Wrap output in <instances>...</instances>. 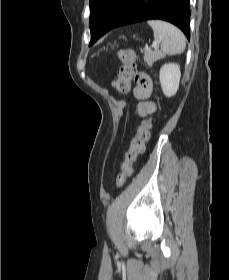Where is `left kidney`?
<instances>
[{"mask_svg":"<svg viewBox=\"0 0 229 280\" xmlns=\"http://www.w3.org/2000/svg\"><path fill=\"white\" fill-rule=\"evenodd\" d=\"M181 72L179 65L175 63L164 64L159 73L161 88L165 96L171 97L179 88Z\"/></svg>","mask_w":229,"mask_h":280,"instance_id":"left-kidney-1","label":"left kidney"}]
</instances>
